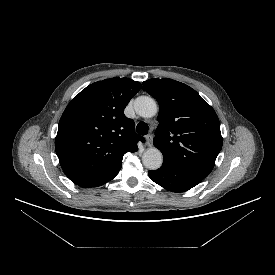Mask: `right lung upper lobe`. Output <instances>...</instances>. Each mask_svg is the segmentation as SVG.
Wrapping results in <instances>:
<instances>
[{
	"instance_id": "1",
	"label": "right lung upper lobe",
	"mask_w": 275,
	"mask_h": 275,
	"mask_svg": "<svg viewBox=\"0 0 275 275\" xmlns=\"http://www.w3.org/2000/svg\"><path fill=\"white\" fill-rule=\"evenodd\" d=\"M141 84L114 77L82 90L66 107L59 121L55 149L67 177L84 188L96 187L122 166L126 152H136L144 138L124 115Z\"/></svg>"
}]
</instances>
